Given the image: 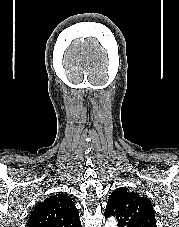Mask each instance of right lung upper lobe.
I'll return each instance as SVG.
<instances>
[{"label":"right lung upper lobe","mask_w":179,"mask_h":227,"mask_svg":"<svg viewBox=\"0 0 179 227\" xmlns=\"http://www.w3.org/2000/svg\"><path fill=\"white\" fill-rule=\"evenodd\" d=\"M27 227H81V222L71 198L56 194L34 208Z\"/></svg>","instance_id":"right-lung-upper-lobe-1"}]
</instances>
